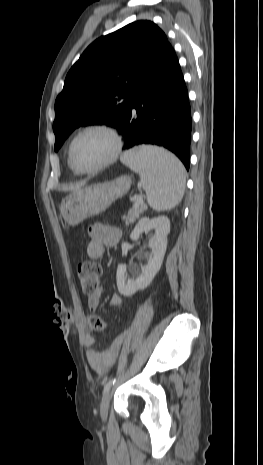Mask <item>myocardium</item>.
<instances>
[{
  "mask_svg": "<svg viewBox=\"0 0 263 465\" xmlns=\"http://www.w3.org/2000/svg\"><path fill=\"white\" fill-rule=\"evenodd\" d=\"M90 131H103L107 133L113 140L114 148H113L112 154L110 155L108 159H106L105 161H103L102 163H100L98 166L94 168L85 169V168L78 166L77 163L75 162V159L73 156V148L78 138L82 136L83 134L90 132ZM122 148H123L122 136L115 127L108 125V124H103V123L90 124L80 129L72 138L69 144V147H68V160L72 168L79 174H94V173L102 171L103 169L107 168L108 166L116 162L122 152Z\"/></svg>",
  "mask_w": 263,
  "mask_h": 465,
  "instance_id": "1",
  "label": "myocardium"
}]
</instances>
